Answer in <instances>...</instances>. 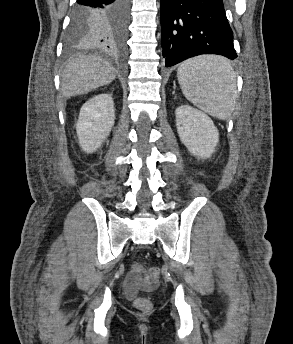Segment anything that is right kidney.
Returning a JSON list of instances; mask_svg holds the SVG:
<instances>
[{"mask_svg":"<svg viewBox=\"0 0 293 344\" xmlns=\"http://www.w3.org/2000/svg\"><path fill=\"white\" fill-rule=\"evenodd\" d=\"M113 98L99 94L89 99L81 108L76 132L79 145L86 153L95 152L109 136L114 125Z\"/></svg>","mask_w":293,"mask_h":344,"instance_id":"obj_1","label":"right kidney"}]
</instances>
